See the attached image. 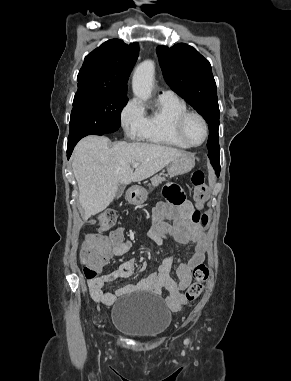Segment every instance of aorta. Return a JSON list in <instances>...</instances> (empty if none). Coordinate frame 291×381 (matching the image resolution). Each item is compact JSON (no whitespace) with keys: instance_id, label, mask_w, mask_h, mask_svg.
Segmentation results:
<instances>
[{"instance_id":"762f6f07","label":"aorta","mask_w":291,"mask_h":381,"mask_svg":"<svg viewBox=\"0 0 291 381\" xmlns=\"http://www.w3.org/2000/svg\"><path fill=\"white\" fill-rule=\"evenodd\" d=\"M154 72L155 65L151 60L142 62L136 68L132 79V89L137 98L146 101L151 97Z\"/></svg>"}]
</instances>
